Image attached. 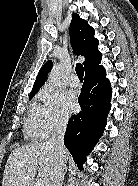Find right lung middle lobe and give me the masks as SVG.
Returning a JSON list of instances; mask_svg holds the SVG:
<instances>
[{"label": "right lung middle lobe", "mask_w": 138, "mask_h": 186, "mask_svg": "<svg viewBox=\"0 0 138 186\" xmlns=\"http://www.w3.org/2000/svg\"><path fill=\"white\" fill-rule=\"evenodd\" d=\"M33 96H34V95H30V96H29V99H31Z\"/></svg>", "instance_id": "dd1d6c3e"}]
</instances>
